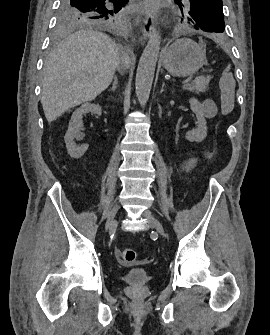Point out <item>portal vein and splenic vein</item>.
<instances>
[{
  "mask_svg": "<svg viewBox=\"0 0 270 335\" xmlns=\"http://www.w3.org/2000/svg\"><path fill=\"white\" fill-rule=\"evenodd\" d=\"M193 79H195V76L190 75L188 78H186L184 80L185 82H182V83L188 84V82H193ZM182 85H184V84H182Z\"/></svg>",
  "mask_w": 270,
  "mask_h": 335,
  "instance_id": "1",
  "label": "portal vein and splenic vein"
}]
</instances>
